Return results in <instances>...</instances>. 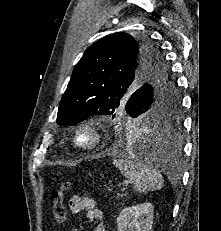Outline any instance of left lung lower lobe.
I'll return each instance as SVG.
<instances>
[{
	"label": "left lung lower lobe",
	"instance_id": "1",
	"mask_svg": "<svg viewBox=\"0 0 221 231\" xmlns=\"http://www.w3.org/2000/svg\"><path fill=\"white\" fill-rule=\"evenodd\" d=\"M131 117L133 116L131 115ZM180 123L181 120L166 125L171 128V131L169 136L165 137L156 133V130L164 125L150 122V128L143 127L142 130L131 129L124 131L119 137V143L122 145L128 143L135 146L138 150L145 152V161L167 168L169 167L168 164L173 163L181 152L178 135ZM158 131L160 132V130Z\"/></svg>",
	"mask_w": 221,
	"mask_h": 231
}]
</instances>
